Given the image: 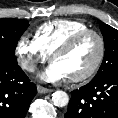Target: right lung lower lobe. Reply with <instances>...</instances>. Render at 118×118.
Segmentation results:
<instances>
[{"label": "right lung lower lobe", "mask_w": 118, "mask_h": 118, "mask_svg": "<svg viewBox=\"0 0 118 118\" xmlns=\"http://www.w3.org/2000/svg\"><path fill=\"white\" fill-rule=\"evenodd\" d=\"M36 93L17 62L0 61V118H25Z\"/></svg>", "instance_id": "obj_1"}]
</instances>
